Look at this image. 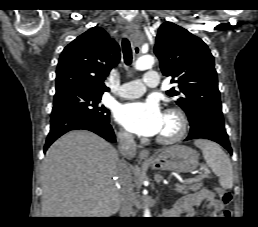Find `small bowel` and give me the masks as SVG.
<instances>
[{
	"label": "small bowel",
	"instance_id": "1",
	"mask_svg": "<svg viewBox=\"0 0 258 227\" xmlns=\"http://www.w3.org/2000/svg\"><path fill=\"white\" fill-rule=\"evenodd\" d=\"M203 202L207 204L205 212L203 213L204 217H214L223 208V204L215 198L214 193L210 190L204 189L190 194L180 200L170 214L173 216L179 214H186L189 217L197 216L194 206Z\"/></svg>",
	"mask_w": 258,
	"mask_h": 227
}]
</instances>
